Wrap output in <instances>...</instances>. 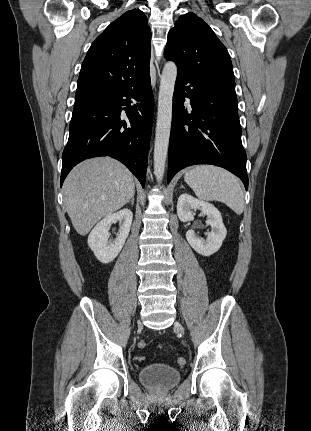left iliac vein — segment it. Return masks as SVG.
<instances>
[{
  "instance_id": "left-iliac-vein-1",
  "label": "left iliac vein",
  "mask_w": 311,
  "mask_h": 431,
  "mask_svg": "<svg viewBox=\"0 0 311 431\" xmlns=\"http://www.w3.org/2000/svg\"><path fill=\"white\" fill-rule=\"evenodd\" d=\"M174 327H175V329H177L179 332L184 333V328H183V326H182L178 321H176V322L174 323Z\"/></svg>"
}]
</instances>
